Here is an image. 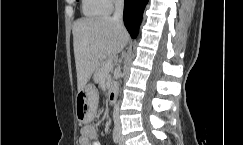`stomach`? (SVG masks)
I'll return each mask as SVG.
<instances>
[{
  "label": "stomach",
  "instance_id": "obj_1",
  "mask_svg": "<svg viewBox=\"0 0 243 145\" xmlns=\"http://www.w3.org/2000/svg\"><path fill=\"white\" fill-rule=\"evenodd\" d=\"M91 87H85L76 96V118L81 123H88L94 117L99 94H91Z\"/></svg>",
  "mask_w": 243,
  "mask_h": 145
}]
</instances>
